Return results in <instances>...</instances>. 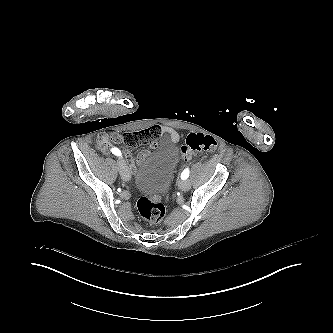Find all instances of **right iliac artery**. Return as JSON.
Here are the masks:
<instances>
[{
  "label": "right iliac artery",
  "instance_id": "1",
  "mask_svg": "<svg viewBox=\"0 0 333 333\" xmlns=\"http://www.w3.org/2000/svg\"><path fill=\"white\" fill-rule=\"evenodd\" d=\"M112 153L115 154V155H117V156H120V155H121L120 150H119L118 148H116V147H114V148L112 149Z\"/></svg>",
  "mask_w": 333,
  "mask_h": 333
}]
</instances>
